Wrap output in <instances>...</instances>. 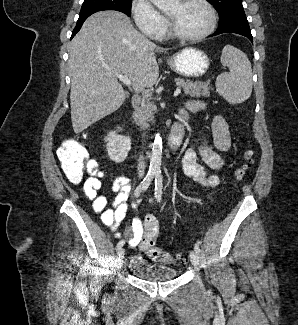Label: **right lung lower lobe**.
Returning a JSON list of instances; mask_svg holds the SVG:
<instances>
[{
    "mask_svg": "<svg viewBox=\"0 0 298 325\" xmlns=\"http://www.w3.org/2000/svg\"><path fill=\"white\" fill-rule=\"evenodd\" d=\"M86 20V19H85ZM85 20H80V19H78V21H77V25H76V27L74 28V30H73V32H72V37L80 30V28H81V26H82V24H83V22L85 21Z\"/></svg>",
    "mask_w": 298,
    "mask_h": 325,
    "instance_id": "1",
    "label": "right lung lower lobe"
}]
</instances>
